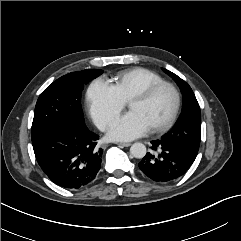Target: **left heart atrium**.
<instances>
[{"mask_svg":"<svg viewBox=\"0 0 241 241\" xmlns=\"http://www.w3.org/2000/svg\"><path fill=\"white\" fill-rule=\"evenodd\" d=\"M151 126L136 111H130L116 119L110 126L108 137L117 141H128L145 135Z\"/></svg>","mask_w":241,"mask_h":241,"instance_id":"left-heart-atrium-1","label":"left heart atrium"}]
</instances>
